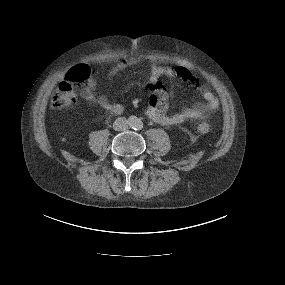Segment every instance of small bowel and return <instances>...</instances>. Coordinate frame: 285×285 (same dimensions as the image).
<instances>
[{
  "instance_id": "small-bowel-1",
  "label": "small bowel",
  "mask_w": 285,
  "mask_h": 285,
  "mask_svg": "<svg viewBox=\"0 0 285 285\" xmlns=\"http://www.w3.org/2000/svg\"><path fill=\"white\" fill-rule=\"evenodd\" d=\"M135 63L136 60L133 58L120 61L111 68V72L117 73L128 66L134 65ZM177 68H182L187 73V75H178L176 71ZM172 74H175L182 80L191 83L194 87H198L195 79L186 68L181 66L174 67L170 65L162 66L153 64L151 67L152 82L150 84L152 93L149 97V104L146 109V115L152 121L166 126L178 125L190 119H204L207 117L208 113L215 111L219 107L218 99L211 92V90L208 87H202L201 94L204 99V103L185 108L173 114H168L167 111L169 97L167 92L160 85L158 78L162 75ZM95 89L96 82L92 80L82 89V97L86 101L95 103L111 113L120 114L123 112L124 107L122 104L111 102L104 96H97Z\"/></svg>"
}]
</instances>
